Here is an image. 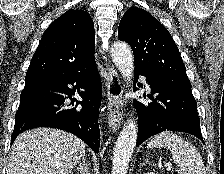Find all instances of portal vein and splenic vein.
<instances>
[{
	"instance_id": "1",
	"label": "portal vein and splenic vein",
	"mask_w": 224,
	"mask_h": 174,
	"mask_svg": "<svg viewBox=\"0 0 224 174\" xmlns=\"http://www.w3.org/2000/svg\"><path fill=\"white\" fill-rule=\"evenodd\" d=\"M166 170H167V171H171V170H173V169H172V167H171L170 165H168L167 168H166Z\"/></svg>"
}]
</instances>
